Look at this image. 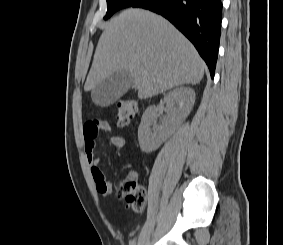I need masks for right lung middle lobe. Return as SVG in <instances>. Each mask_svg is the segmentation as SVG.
<instances>
[{
    "label": "right lung middle lobe",
    "mask_w": 283,
    "mask_h": 245,
    "mask_svg": "<svg viewBox=\"0 0 283 245\" xmlns=\"http://www.w3.org/2000/svg\"><path fill=\"white\" fill-rule=\"evenodd\" d=\"M140 0H107V13L104 19L111 17L116 11L130 7Z\"/></svg>",
    "instance_id": "1"
}]
</instances>
